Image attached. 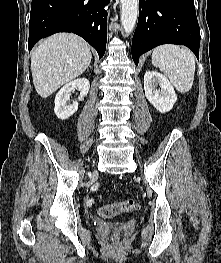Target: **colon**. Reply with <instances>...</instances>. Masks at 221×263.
I'll use <instances>...</instances> for the list:
<instances>
[{
  "mask_svg": "<svg viewBox=\"0 0 221 263\" xmlns=\"http://www.w3.org/2000/svg\"><path fill=\"white\" fill-rule=\"evenodd\" d=\"M137 208V203L132 199H127L121 202L108 203L100 207L99 215L105 218L115 217L117 215L132 212ZM119 227L114 228L115 233L119 231Z\"/></svg>",
  "mask_w": 221,
  "mask_h": 263,
  "instance_id": "1",
  "label": "colon"
}]
</instances>
